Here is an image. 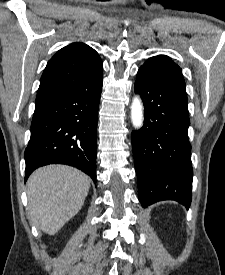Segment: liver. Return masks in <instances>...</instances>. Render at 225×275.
Wrapping results in <instances>:
<instances>
[{
	"label": "liver",
	"mask_w": 225,
	"mask_h": 275,
	"mask_svg": "<svg viewBox=\"0 0 225 275\" xmlns=\"http://www.w3.org/2000/svg\"><path fill=\"white\" fill-rule=\"evenodd\" d=\"M90 178L70 166L49 165L27 181L30 218L43 232L54 235L82 208Z\"/></svg>",
	"instance_id": "liver-1"
}]
</instances>
